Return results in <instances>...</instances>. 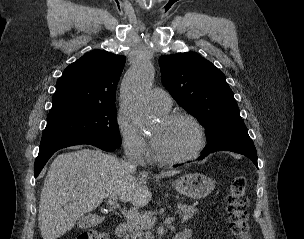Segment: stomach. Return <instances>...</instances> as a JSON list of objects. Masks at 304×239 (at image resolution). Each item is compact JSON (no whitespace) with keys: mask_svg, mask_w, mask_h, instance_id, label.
Segmentation results:
<instances>
[{"mask_svg":"<svg viewBox=\"0 0 304 239\" xmlns=\"http://www.w3.org/2000/svg\"><path fill=\"white\" fill-rule=\"evenodd\" d=\"M173 186L179 193L192 199L208 196L215 187L212 179L197 172L181 176L173 183Z\"/></svg>","mask_w":304,"mask_h":239,"instance_id":"1","label":"stomach"}]
</instances>
